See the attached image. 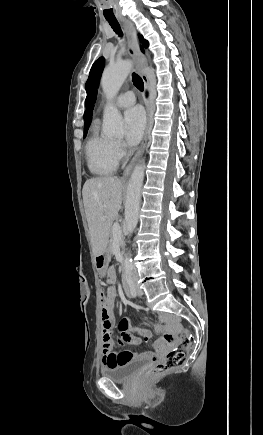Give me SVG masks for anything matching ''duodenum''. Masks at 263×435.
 Returning <instances> with one entry per match:
<instances>
[{
  "mask_svg": "<svg viewBox=\"0 0 263 435\" xmlns=\"http://www.w3.org/2000/svg\"><path fill=\"white\" fill-rule=\"evenodd\" d=\"M123 286H124L125 292L127 294H130V287H129V283H128L126 278H124V280H123Z\"/></svg>",
  "mask_w": 263,
  "mask_h": 435,
  "instance_id": "410a0bca",
  "label": "duodenum"
}]
</instances>
